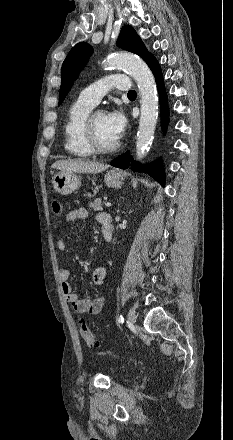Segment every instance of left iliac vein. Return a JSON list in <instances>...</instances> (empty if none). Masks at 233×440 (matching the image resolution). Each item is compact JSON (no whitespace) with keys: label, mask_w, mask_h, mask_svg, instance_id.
<instances>
[{"label":"left iliac vein","mask_w":233,"mask_h":440,"mask_svg":"<svg viewBox=\"0 0 233 440\" xmlns=\"http://www.w3.org/2000/svg\"><path fill=\"white\" fill-rule=\"evenodd\" d=\"M135 318H136L135 310H133V309L129 310L128 315H127L128 323L129 324H134Z\"/></svg>","instance_id":"left-iliac-vein-1"}]
</instances>
